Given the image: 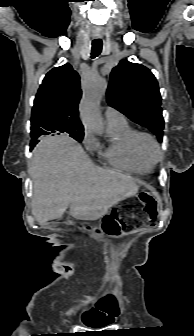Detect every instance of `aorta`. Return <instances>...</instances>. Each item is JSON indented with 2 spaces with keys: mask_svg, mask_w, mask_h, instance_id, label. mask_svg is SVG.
I'll return each mask as SVG.
<instances>
[{
  "mask_svg": "<svg viewBox=\"0 0 194 336\" xmlns=\"http://www.w3.org/2000/svg\"><path fill=\"white\" fill-rule=\"evenodd\" d=\"M107 89V83L102 78L91 80L84 91L80 103V116L82 123L89 132L101 135L105 124L100 114L99 104Z\"/></svg>",
  "mask_w": 194,
  "mask_h": 336,
  "instance_id": "1",
  "label": "aorta"
}]
</instances>
